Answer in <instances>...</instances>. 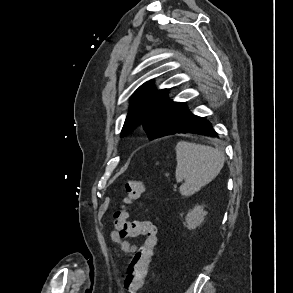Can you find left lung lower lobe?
Returning <instances> with one entry per match:
<instances>
[{
	"label": "left lung lower lobe",
	"mask_w": 293,
	"mask_h": 293,
	"mask_svg": "<svg viewBox=\"0 0 293 293\" xmlns=\"http://www.w3.org/2000/svg\"><path fill=\"white\" fill-rule=\"evenodd\" d=\"M198 133L211 137H217V133L206 119L191 114L188 110L184 113L178 124L167 134Z\"/></svg>",
	"instance_id": "left-lung-lower-lobe-1"
}]
</instances>
